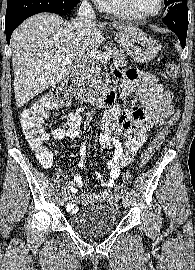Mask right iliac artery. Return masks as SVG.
Instances as JSON below:
<instances>
[{
	"label": "right iliac artery",
	"mask_w": 195,
	"mask_h": 270,
	"mask_svg": "<svg viewBox=\"0 0 195 270\" xmlns=\"http://www.w3.org/2000/svg\"><path fill=\"white\" fill-rule=\"evenodd\" d=\"M65 193V188H62L61 194Z\"/></svg>",
	"instance_id": "right-iliac-artery-1"
}]
</instances>
